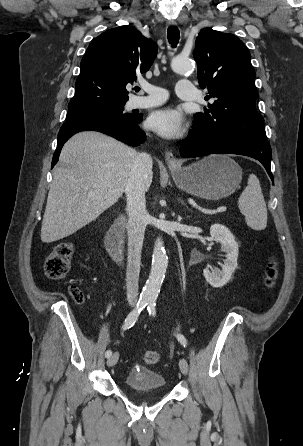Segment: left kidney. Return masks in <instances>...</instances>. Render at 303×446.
<instances>
[{
	"mask_svg": "<svg viewBox=\"0 0 303 446\" xmlns=\"http://www.w3.org/2000/svg\"><path fill=\"white\" fill-rule=\"evenodd\" d=\"M211 236L221 244V249L226 253L222 270H203L206 281L215 288L223 287L231 279L237 268L239 246L230 230L221 224H214L210 228Z\"/></svg>",
	"mask_w": 303,
	"mask_h": 446,
	"instance_id": "5707ae66",
	"label": "left kidney"
}]
</instances>
